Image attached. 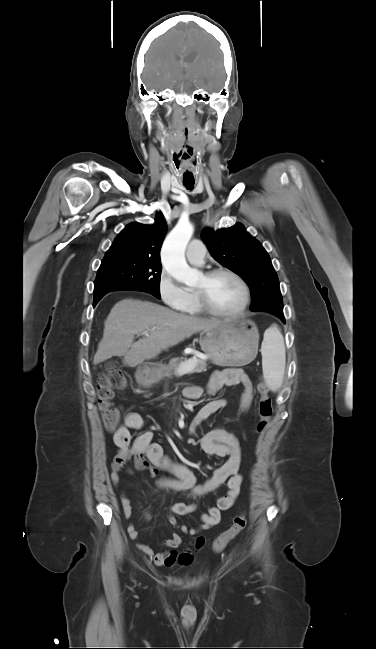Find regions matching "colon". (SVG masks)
Returning <instances> with one entry per match:
<instances>
[{
  "mask_svg": "<svg viewBox=\"0 0 376 649\" xmlns=\"http://www.w3.org/2000/svg\"><path fill=\"white\" fill-rule=\"evenodd\" d=\"M127 387V380L119 371H111L101 374L98 380V407L104 426L107 430L116 429L120 421V411L113 406L112 400L115 390H122ZM259 401L257 423V432L263 434L270 425L272 416V404L269 397V389L264 381L258 384ZM246 526V516L240 514L233 520L232 525L222 533L214 542L213 548L216 552H221L233 539H235Z\"/></svg>",
  "mask_w": 376,
  "mask_h": 649,
  "instance_id": "1",
  "label": "colon"
}]
</instances>
